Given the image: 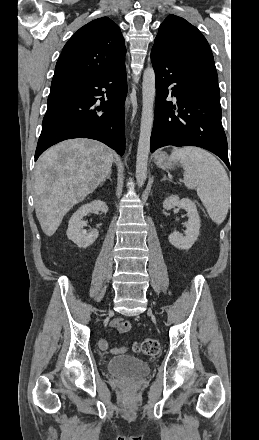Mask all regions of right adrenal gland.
<instances>
[{
  "mask_svg": "<svg viewBox=\"0 0 259 440\" xmlns=\"http://www.w3.org/2000/svg\"><path fill=\"white\" fill-rule=\"evenodd\" d=\"M111 174H112V171L109 172V174L106 176V178L103 180V182H105L106 179H109L110 181H112Z\"/></svg>",
  "mask_w": 259,
  "mask_h": 440,
  "instance_id": "1",
  "label": "right adrenal gland"
}]
</instances>
